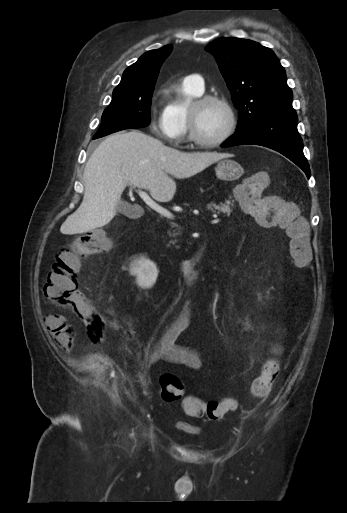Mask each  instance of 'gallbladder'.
<instances>
[{
    "label": "gallbladder",
    "mask_w": 347,
    "mask_h": 513,
    "mask_svg": "<svg viewBox=\"0 0 347 513\" xmlns=\"http://www.w3.org/2000/svg\"><path fill=\"white\" fill-rule=\"evenodd\" d=\"M118 210L124 214L125 216L129 217V218H133L136 216V213L138 211L137 207L136 206H132L130 204H128L127 202H121L119 205H118Z\"/></svg>",
    "instance_id": "obj_1"
}]
</instances>
